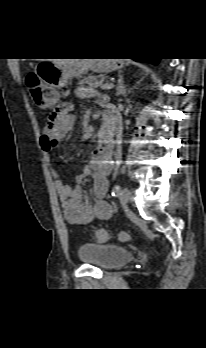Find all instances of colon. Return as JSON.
Here are the masks:
<instances>
[{
  "label": "colon",
  "mask_w": 206,
  "mask_h": 348,
  "mask_svg": "<svg viewBox=\"0 0 206 348\" xmlns=\"http://www.w3.org/2000/svg\"><path fill=\"white\" fill-rule=\"evenodd\" d=\"M26 86L29 91V94L33 99H36L43 91V87L41 84V81L35 73H29L26 77ZM54 111L52 112V114ZM56 119V116H55ZM109 238L108 232L104 229H97L95 231V239L96 241L102 243L107 241ZM120 239L122 241H128L130 240V235L127 233H122L120 235Z\"/></svg>",
  "instance_id": "obj_1"
}]
</instances>
